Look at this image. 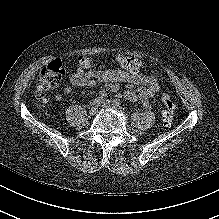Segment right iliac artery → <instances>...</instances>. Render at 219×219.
I'll list each match as a JSON object with an SVG mask.
<instances>
[{
	"label": "right iliac artery",
	"mask_w": 219,
	"mask_h": 219,
	"mask_svg": "<svg viewBox=\"0 0 219 219\" xmlns=\"http://www.w3.org/2000/svg\"><path fill=\"white\" fill-rule=\"evenodd\" d=\"M104 102V98L103 96H99V97H96L92 102H91V105L92 106H99L101 103Z\"/></svg>",
	"instance_id": "1"
}]
</instances>
